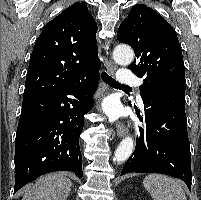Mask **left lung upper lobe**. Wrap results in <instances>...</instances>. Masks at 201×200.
I'll list each match as a JSON object with an SVG mask.
<instances>
[{"instance_id":"obj_1","label":"left lung upper lobe","mask_w":201,"mask_h":200,"mask_svg":"<svg viewBox=\"0 0 201 200\" xmlns=\"http://www.w3.org/2000/svg\"><path fill=\"white\" fill-rule=\"evenodd\" d=\"M117 39L130 45L136 58L129 69L144 82L140 95L175 88L185 90V69L181 47L172 26L143 4L133 6L121 23Z\"/></svg>"}]
</instances>
